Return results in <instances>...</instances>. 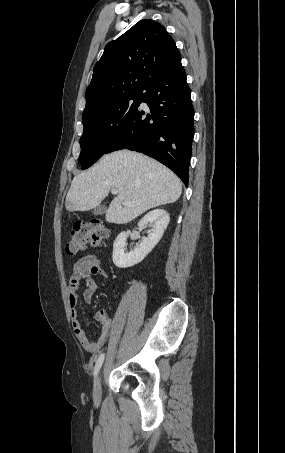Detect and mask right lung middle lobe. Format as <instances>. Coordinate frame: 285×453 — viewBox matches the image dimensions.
<instances>
[{
	"label": "right lung middle lobe",
	"instance_id": "dd1d6c3e",
	"mask_svg": "<svg viewBox=\"0 0 285 453\" xmlns=\"http://www.w3.org/2000/svg\"><path fill=\"white\" fill-rule=\"evenodd\" d=\"M141 97L142 93L121 95L83 113L79 157L82 169H87L107 153L138 109Z\"/></svg>",
	"mask_w": 285,
	"mask_h": 453
}]
</instances>
